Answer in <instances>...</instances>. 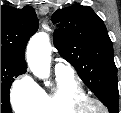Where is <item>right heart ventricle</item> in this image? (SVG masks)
Masks as SVG:
<instances>
[{"label":"right heart ventricle","instance_id":"right-heart-ventricle-1","mask_svg":"<svg viewBox=\"0 0 121 113\" xmlns=\"http://www.w3.org/2000/svg\"><path fill=\"white\" fill-rule=\"evenodd\" d=\"M56 84L50 90L38 87L35 99L21 103L19 113H59L63 109H76L77 103L86 94L78 85L73 74H56Z\"/></svg>","mask_w":121,"mask_h":113}]
</instances>
